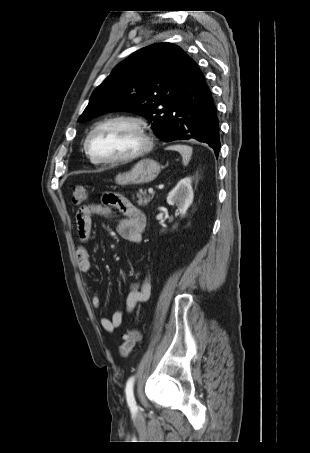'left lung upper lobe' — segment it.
I'll use <instances>...</instances> for the list:
<instances>
[{"label": "left lung upper lobe", "instance_id": "left-lung-upper-lobe-1", "mask_svg": "<svg viewBox=\"0 0 310 453\" xmlns=\"http://www.w3.org/2000/svg\"><path fill=\"white\" fill-rule=\"evenodd\" d=\"M192 59L178 46H147L117 64L93 92L78 121L101 114L130 110L153 121L159 137L170 110L186 81Z\"/></svg>", "mask_w": 310, "mask_h": 453}]
</instances>
